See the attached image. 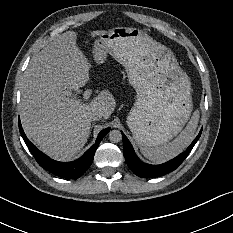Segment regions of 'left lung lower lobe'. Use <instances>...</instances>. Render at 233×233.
Masks as SVG:
<instances>
[{
	"label": "left lung lower lobe",
	"instance_id": "1",
	"mask_svg": "<svg viewBox=\"0 0 233 233\" xmlns=\"http://www.w3.org/2000/svg\"><path fill=\"white\" fill-rule=\"evenodd\" d=\"M202 133V129L196 139L191 143V145L187 148L184 153L179 154L174 159L160 164V165H150L143 163L135 154L134 149L127 139V137L122 133L123 139V154L126 160L128 167L139 177L143 178H152V177H159L165 175L176 168L184 161L187 155L192 150L193 146L196 144L198 139L200 138Z\"/></svg>",
	"mask_w": 233,
	"mask_h": 233
}]
</instances>
